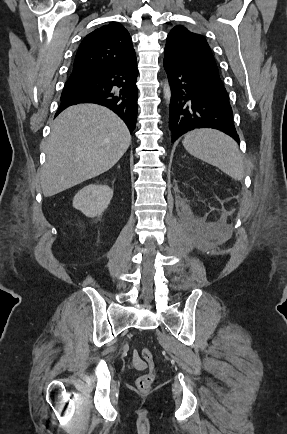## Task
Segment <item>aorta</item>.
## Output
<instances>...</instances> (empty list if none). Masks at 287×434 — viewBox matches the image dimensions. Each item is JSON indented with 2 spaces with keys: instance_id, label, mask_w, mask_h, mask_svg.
I'll list each match as a JSON object with an SVG mask.
<instances>
[{
  "instance_id": "762f6f07",
  "label": "aorta",
  "mask_w": 287,
  "mask_h": 434,
  "mask_svg": "<svg viewBox=\"0 0 287 434\" xmlns=\"http://www.w3.org/2000/svg\"><path fill=\"white\" fill-rule=\"evenodd\" d=\"M163 93L166 103L169 104L171 100V89L167 80L164 81Z\"/></svg>"
}]
</instances>
